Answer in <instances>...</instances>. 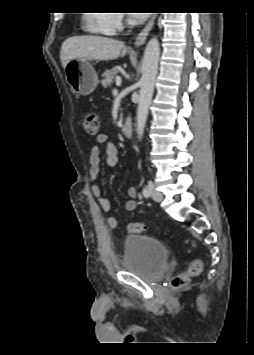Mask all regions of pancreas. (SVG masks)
Segmentation results:
<instances>
[{"mask_svg": "<svg viewBox=\"0 0 254 355\" xmlns=\"http://www.w3.org/2000/svg\"><path fill=\"white\" fill-rule=\"evenodd\" d=\"M117 73H118L117 68L106 70L102 75L104 78L102 80L103 87L110 86L113 83L114 77L117 75Z\"/></svg>", "mask_w": 254, "mask_h": 355, "instance_id": "cf45deb5", "label": "pancreas"}]
</instances>
